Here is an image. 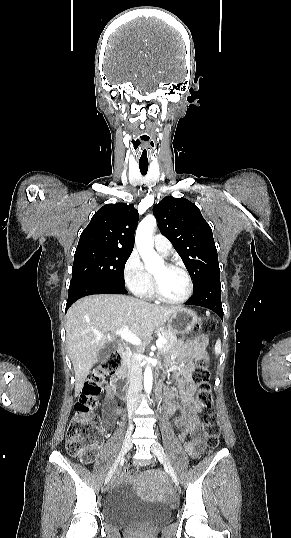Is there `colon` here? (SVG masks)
Returning a JSON list of instances; mask_svg holds the SVG:
<instances>
[{
    "label": "colon",
    "mask_w": 291,
    "mask_h": 538,
    "mask_svg": "<svg viewBox=\"0 0 291 538\" xmlns=\"http://www.w3.org/2000/svg\"><path fill=\"white\" fill-rule=\"evenodd\" d=\"M213 327V319L204 317L198 322L194 332L207 333ZM121 362V354L114 351L102 364L91 371L75 405V414L66 433V448L69 454L84 462L93 460L99 444L101 428L95 411L98 397L102 391V383L107 377L114 376L119 371ZM192 381L197 387V404L202 408L212 409L214 400L211 393L208 359L204 355L195 359ZM203 428L207 448L209 450L215 449L219 444L220 437V423L215 412L204 415ZM126 472L129 476H133L136 473L135 466L129 467Z\"/></svg>",
    "instance_id": "obj_1"
}]
</instances>
